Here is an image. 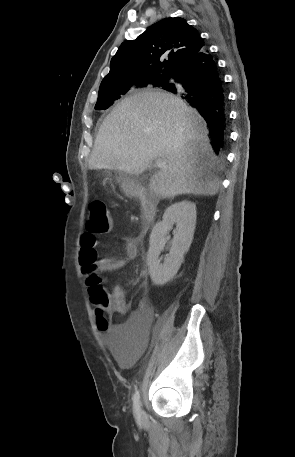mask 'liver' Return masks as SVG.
<instances>
[{
  "label": "liver",
  "mask_w": 295,
  "mask_h": 457,
  "mask_svg": "<svg viewBox=\"0 0 295 457\" xmlns=\"http://www.w3.org/2000/svg\"><path fill=\"white\" fill-rule=\"evenodd\" d=\"M208 129L196 109L163 91H145L122 100L100 126L89 169L141 174L155 159L166 165L150 180L161 198L215 195L216 156Z\"/></svg>",
  "instance_id": "obj_1"
}]
</instances>
